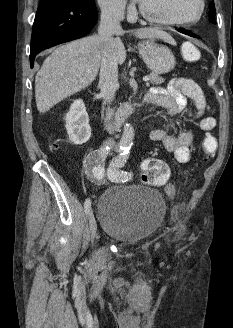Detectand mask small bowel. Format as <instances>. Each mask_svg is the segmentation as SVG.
Returning <instances> with one entry per match:
<instances>
[{
	"instance_id": "small-bowel-1",
	"label": "small bowel",
	"mask_w": 233,
	"mask_h": 328,
	"mask_svg": "<svg viewBox=\"0 0 233 328\" xmlns=\"http://www.w3.org/2000/svg\"><path fill=\"white\" fill-rule=\"evenodd\" d=\"M150 102L165 109L171 117L162 128L150 132L152 141L162 143L163 147L174 154L180 163L189 162L195 152L193 146V133L185 131L174 135V125L177 119L187 117L198 121L202 131H211L216 127L217 121L213 116H206L208 104L201 87L189 78H174L166 87H154L148 94ZM190 99L194 105L193 111L187 110V100ZM166 193L174 196L175 188L171 183L166 185ZM114 284L117 288L129 285L123 279H116Z\"/></svg>"
}]
</instances>
